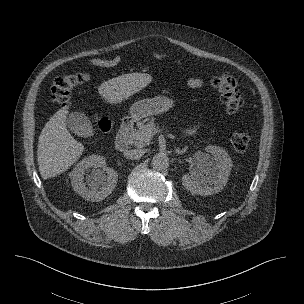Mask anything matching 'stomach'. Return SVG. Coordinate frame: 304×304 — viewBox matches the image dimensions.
<instances>
[{
  "instance_id": "stomach-1",
  "label": "stomach",
  "mask_w": 304,
  "mask_h": 304,
  "mask_svg": "<svg viewBox=\"0 0 304 304\" xmlns=\"http://www.w3.org/2000/svg\"><path fill=\"white\" fill-rule=\"evenodd\" d=\"M172 106L173 100L164 96L142 99L132 104L130 118L139 121L148 116L167 112Z\"/></svg>"
}]
</instances>
